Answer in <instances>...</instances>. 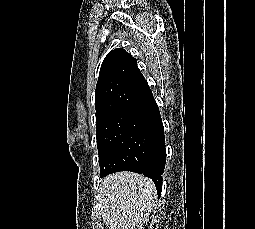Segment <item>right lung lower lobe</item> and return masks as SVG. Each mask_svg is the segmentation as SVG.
Segmentation results:
<instances>
[{"instance_id":"right-lung-lower-lobe-1","label":"right lung lower lobe","mask_w":255,"mask_h":229,"mask_svg":"<svg viewBox=\"0 0 255 229\" xmlns=\"http://www.w3.org/2000/svg\"><path fill=\"white\" fill-rule=\"evenodd\" d=\"M125 113L132 118L142 121L147 129L154 130L156 138L143 164L124 171L140 173L151 178L156 186L158 197H160L162 191L161 175L163 174L166 163V149L164 127L157 103L152 98L143 104L129 108Z\"/></svg>"}]
</instances>
